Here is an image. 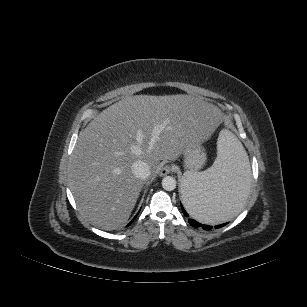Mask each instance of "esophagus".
Listing matches in <instances>:
<instances>
[{
  "instance_id": "obj_1",
  "label": "esophagus",
  "mask_w": 307,
  "mask_h": 307,
  "mask_svg": "<svg viewBox=\"0 0 307 307\" xmlns=\"http://www.w3.org/2000/svg\"><path fill=\"white\" fill-rule=\"evenodd\" d=\"M171 173V166L170 165H165L163 166L160 171H159V176L163 177Z\"/></svg>"
}]
</instances>
